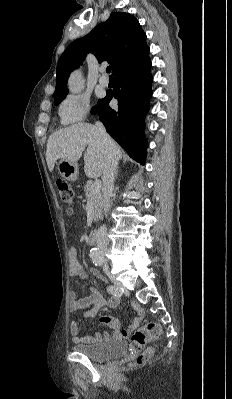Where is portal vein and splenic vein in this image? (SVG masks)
<instances>
[{
  "label": "portal vein and splenic vein",
  "mask_w": 232,
  "mask_h": 399,
  "mask_svg": "<svg viewBox=\"0 0 232 399\" xmlns=\"http://www.w3.org/2000/svg\"><path fill=\"white\" fill-rule=\"evenodd\" d=\"M100 188H101L100 180H95V182H94V184L92 186L93 192H100Z\"/></svg>",
  "instance_id": "obj_1"
}]
</instances>
